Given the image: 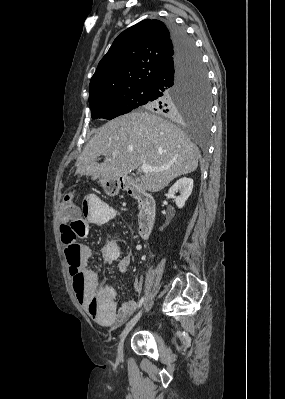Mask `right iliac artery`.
Returning a JSON list of instances; mask_svg holds the SVG:
<instances>
[{
  "label": "right iliac artery",
  "mask_w": 285,
  "mask_h": 399,
  "mask_svg": "<svg viewBox=\"0 0 285 399\" xmlns=\"http://www.w3.org/2000/svg\"><path fill=\"white\" fill-rule=\"evenodd\" d=\"M144 299H145L144 296L141 297V299H140L139 302H138V308H140V307L142 306V304L144 303Z\"/></svg>",
  "instance_id": "obj_1"
}]
</instances>
